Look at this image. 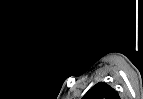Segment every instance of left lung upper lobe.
<instances>
[{
	"label": "left lung upper lobe",
	"mask_w": 143,
	"mask_h": 99,
	"mask_svg": "<svg viewBox=\"0 0 143 99\" xmlns=\"http://www.w3.org/2000/svg\"><path fill=\"white\" fill-rule=\"evenodd\" d=\"M82 99H119V94L107 83L99 82Z\"/></svg>",
	"instance_id": "obj_1"
}]
</instances>
